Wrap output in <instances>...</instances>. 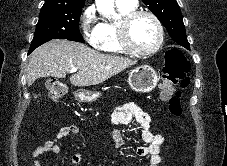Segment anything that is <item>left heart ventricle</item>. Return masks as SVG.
Masks as SVG:
<instances>
[{"mask_svg": "<svg viewBox=\"0 0 227 166\" xmlns=\"http://www.w3.org/2000/svg\"><path fill=\"white\" fill-rule=\"evenodd\" d=\"M129 40L139 49L151 48L157 40V29L148 16L138 17L129 28Z\"/></svg>", "mask_w": 227, "mask_h": 166, "instance_id": "b2bd125f", "label": "left heart ventricle"}]
</instances>
